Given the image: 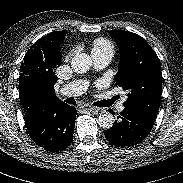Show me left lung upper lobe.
<instances>
[{
  "label": "left lung upper lobe",
  "instance_id": "1",
  "mask_svg": "<svg viewBox=\"0 0 183 183\" xmlns=\"http://www.w3.org/2000/svg\"><path fill=\"white\" fill-rule=\"evenodd\" d=\"M120 50L115 76L117 84L128 92L125 108H133L156 119L161 101V64L154 50L141 36L124 31H108Z\"/></svg>",
  "mask_w": 183,
  "mask_h": 183
}]
</instances>
